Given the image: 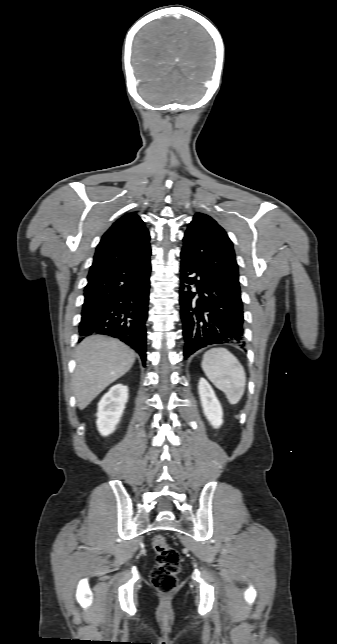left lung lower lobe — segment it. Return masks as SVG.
Masks as SVG:
<instances>
[{
    "mask_svg": "<svg viewBox=\"0 0 337 644\" xmlns=\"http://www.w3.org/2000/svg\"><path fill=\"white\" fill-rule=\"evenodd\" d=\"M180 317L185 340L184 357L212 344L244 341L241 297L233 294L213 274L181 256ZM195 287L197 291H193Z\"/></svg>",
    "mask_w": 337,
    "mask_h": 644,
    "instance_id": "0a47b994",
    "label": "left lung lower lobe"
}]
</instances>
